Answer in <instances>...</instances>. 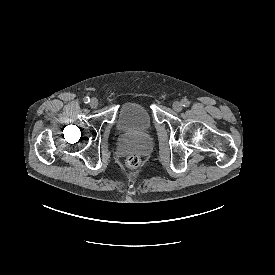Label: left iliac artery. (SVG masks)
Wrapping results in <instances>:
<instances>
[{
    "mask_svg": "<svg viewBox=\"0 0 275 275\" xmlns=\"http://www.w3.org/2000/svg\"><path fill=\"white\" fill-rule=\"evenodd\" d=\"M189 101L187 99H182L181 101V105L184 106V107H188L189 106Z\"/></svg>",
    "mask_w": 275,
    "mask_h": 275,
    "instance_id": "obj_1",
    "label": "left iliac artery"
}]
</instances>
